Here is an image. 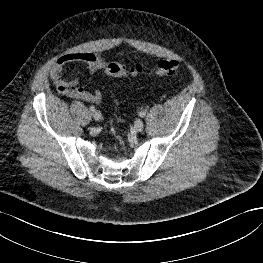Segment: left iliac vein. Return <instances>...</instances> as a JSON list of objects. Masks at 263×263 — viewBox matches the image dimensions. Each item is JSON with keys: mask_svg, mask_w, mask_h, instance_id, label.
<instances>
[{"mask_svg": "<svg viewBox=\"0 0 263 263\" xmlns=\"http://www.w3.org/2000/svg\"><path fill=\"white\" fill-rule=\"evenodd\" d=\"M134 128L136 131L141 132L144 128V122L141 119H138L134 123Z\"/></svg>", "mask_w": 263, "mask_h": 263, "instance_id": "obj_1", "label": "left iliac vein"}]
</instances>
